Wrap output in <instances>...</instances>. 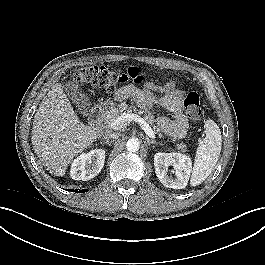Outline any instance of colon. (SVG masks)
Wrapping results in <instances>:
<instances>
[{
	"mask_svg": "<svg viewBox=\"0 0 265 265\" xmlns=\"http://www.w3.org/2000/svg\"><path fill=\"white\" fill-rule=\"evenodd\" d=\"M128 80H132L135 83H141L144 80V77L139 71H128L127 74L117 73L104 66L96 65L80 68L73 75V81L76 84H90L102 87L109 92L115 91ZM185 111L192 122L198 123L202 120L203 109L198 93H188L185 98Z\"/></svg>",
	"mask_w": 265,
	"mask_h": 265,
	"instance_id": "1",
	"label": "colon"
}]
</instances>
